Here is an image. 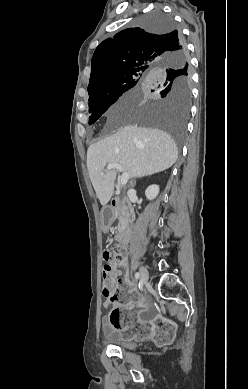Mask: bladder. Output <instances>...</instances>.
<instances>
[{
  "mask_svg": "<svg viewBox=\"0 0 248 389\" xmlns=\"http://www.w3.org/2000/svg\"><path fill=\"white\" fill-rule=\"evenodd\" d=\"M103 342L126 350H133L138 346V342L136 340H133L132 338H124L122 333L119 331L105 334Z\"/></svg>",
  "mask_w": 248,
  "mask_h": 389,
  "instance_id": "bladder-1",
  "label": "bladder"
}]
</instances>
